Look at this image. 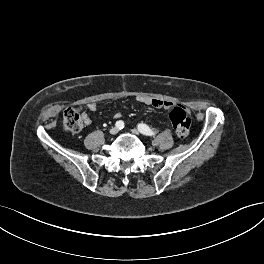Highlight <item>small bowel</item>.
<instances>
[{"instance_id":"1","label":"small bowel","mask_w":264,"mask_h":264,"mask_svg":"<svg viewBox=\"0 0 264 264\" xmlns=\"http://www.w3.org/2000/svg\"><path fill=\"white\" fill-rule=\"evenodd\" d=\"M139 102L145 104V105H151L153 107L156 108H165V109H169L171 107L174 106V103L171 101H166V100H160V99H152V98H148V97H140L138 99ZM87 109L90 111H96L97 110V104L96 103H89L87 105ZM115 118H120L121 115L120 114H115L114 115ZM83 119H84V123L86 125H90L91 124V119L84 114L83 115Z\"/></svg>"}]
</instances>
